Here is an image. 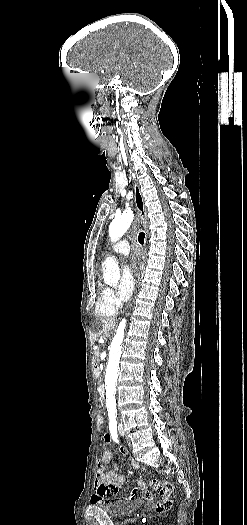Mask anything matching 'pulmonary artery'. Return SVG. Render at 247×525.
I'll list each match as a JSON object with an SVG mask.
<instances>
[{
  "label": "pulmonary artery",
  "mask_w": 247,
  "mask_h": 525,
  "mask_svg": "<svg viewBox=\"0 0 247 525\" xmlns=\"http://www.w3.org/2000/svg\"><path fill=\"white\" fill-rule=\"evenodd\" d=\"M129 242L127 240H120L111 247L113 253H119L121 257L126 258L129 256Z\"/></svg>",
  "instance_id": "e3ab8cb5"
}]
</instances>
